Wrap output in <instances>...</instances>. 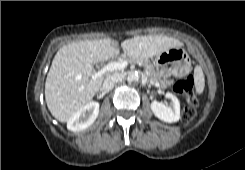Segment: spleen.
Here are the masks:
<instances>
[{"instance_id":"1","label":"spleen","mask_w":245,"mask_h":170,"mask_svg":"<svg viewBox=\"0 0 245 170\" xmlns=\"http://www.w3.org/2000/svg\"><path fill=\"white\" fill-rule=\"evenodd\" d=\"M194 85L198 94L203 93L205 87V78L200 66H196L194 69Z\"/></svg>"}]
</instances>
